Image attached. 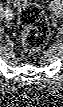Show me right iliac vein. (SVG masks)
<instances>
[{"label": "right iliac vein", "mask_w": 63, "mask_h": 107, "mask_svg": "<svg viewBox=\"0 0 63 107\" xmlns=\"http://www.w3.org/2000/svg\"><path fill=\"white\" fill-rule=\"evenodd\" d=\"M4 15H5L6 20H8V21L12 20V18H13V15L11 12H5Z\"/></svg>", "instance_id": "63e3f726"}]
</instances>
